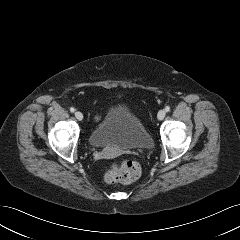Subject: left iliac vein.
I'll use <instances>...</instances> for the list:
<instances>
[{"label": "left iliac vein", "instance_id": "left-iliac-vein-1", "mask_svg": "<svg viewBox=\"0 0 240 240\" xmlns=\"http://www.w3.org/2000/svg\"><path fill=\"white\" fill-rule=\"evenodd\" d=\"M165 115H166V112L164 110H160L157 114V118L159 120H162L165 117Z\"/></svg>", "mask_w": 240, "mask_h": 240}]
</instances>
